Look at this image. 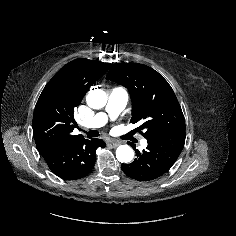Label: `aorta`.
Wrapping results in <instances>:
<instances>
[{
    "label": "aorta",
    "mask_w": 236,
    "mask_h": 236,
    "mask_svg": "<svg viewBox=\"0 0 236 236\" xmlns=\"http://www.w3.org/2000/svg\"><path fill=\"white\" fill-rule=\"evenodd\" d=\"M86 102L93 109H101L107 103V95L101 89L90 90ZM116 157L121 163H129L134 157V151L128 145H120L116 150Z\"/></svg>",
    "instance_id": "762f6f07"
}]
</instances>
